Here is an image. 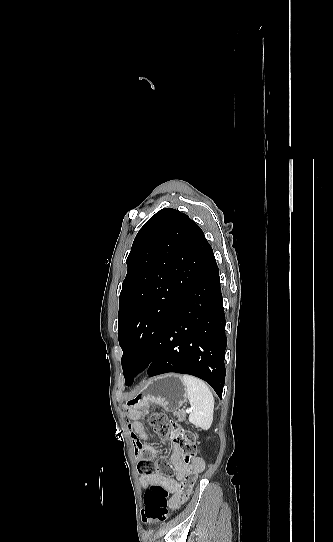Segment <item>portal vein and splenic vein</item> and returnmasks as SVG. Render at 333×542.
<instances>
[{"label":"portal vein and splenic vein","instance_id":"18ae733b","mask_svg":"<svg viewBox=\"0 0 333 542\" xmlns=\"http://www.w3.org/2000/svg\"><path fill=\"white\" fill-rule=\"evenodd\" d=\"M186 412H192L191 408H190V410H186Z\"/></svg>","mask_w":333,"mask_h":542}]
</instances>
